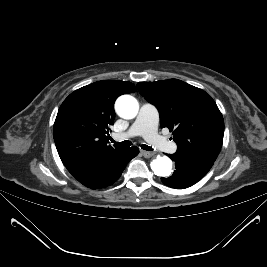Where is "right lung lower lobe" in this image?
I'll list each match as a JSON object with an SVG mask.
<instances>
[{"mask_svg":"<svg viewBox=\"0 0 267 267\" xmlns=\"http://www.w3.org/2000/svg\"><path fill=\"white\" fill-rule=\"evenodd\" d=\"M139 149L131 147L98 160L85 174L76 178L91 189H100L112 185L119 179L127 163L137 156Z\"/></svg>","mask_w":267,"mask_h":267,"instance_id":"98d812e1","label":"right lung lower lobe"}]
</instances>
